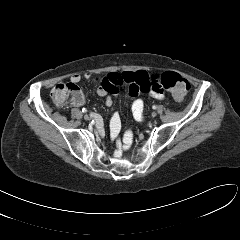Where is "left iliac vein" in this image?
<instances>
[{"label": "left iliac vein", "instance_id": "left-iliac-vein-1", "mask_svg": "<svg viewBox=\"0 0 240 240\" xmlns=\"http://www.w3.org/2000/svg\"><path fill=\"white\" fill-rule=\"evenodd\" d=\"M156 115H157L156 112H153V113H152V117H155Z\"/></svg>", "mask_w": 240, "mask_h": 240}]
</instances>
